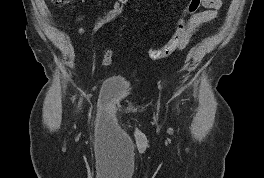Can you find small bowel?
Listing matches in <instances>:
<instances>
[{
    "label": "small bowel",
    "mask_w": 264,
    "mask_h": 178,
    "mask_svg": "<svg viewBox=\"0 0 264 178\" xmlns=\"http://www.w3.org/2000/svg\"><path fill=\"white\" fill-rule=\"evenodd\" d=\"M132 0H116L110 10L104 13L92 27V31H97L106 24L112 23L116 20L125 10L127 5ZM204 6L205 10L198 12L191 19V26L197 29L201 24L213 20L217 14V11L222 6V0H206ZM82 33H85V29H80Z\"/></svg>",
    "instance_id": "obj_1"
}]
</instances>
